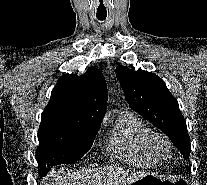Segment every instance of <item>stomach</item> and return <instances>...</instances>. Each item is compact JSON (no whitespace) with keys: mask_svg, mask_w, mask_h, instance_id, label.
I'll list each match as a JSON object with an SVG mask.
<instances>
[{"mask_svg":"<svg viewBox=\"0 0 207 185\" xmlns=\"http://www.w3.org/2000/svg\"><path fill=\"white\" fill-rule=\"evenodd\" d=\"M131 185H186L183 178H162L157 175H144Z\"/></svg>","mask_w":207,"mask_h":185,"instance_id":"1","label":"stomach"}]
</instances>
